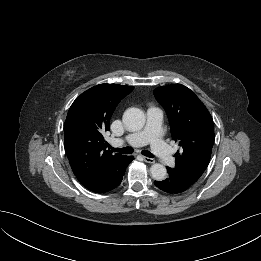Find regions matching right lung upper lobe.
I'll return each mask as SVG.
<instances>
[{
    "label": "right lung upper lobe",
    "mask_w": 261,
    "mask_h": 261,
    "mask_svg": "<svg viewBox=\"0 0 261 261\" xmlns=\"http://www.w3.org/2000/svg\"><path fill=\"white\" fill-rule=\"evenodd\" d=\"M134 87L99 84L71 105L64 125V147L73 173L87 189L96 187L114 175L127 156L106 150L104 134L118 103Z\"/></svg>",
    "instance_id": "obj_1"
}]
</instances>
